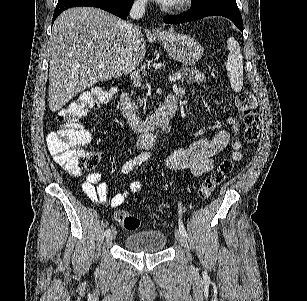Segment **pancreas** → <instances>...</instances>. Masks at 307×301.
I'll use <instances>...</instances> for the list:
<instances>
[{
	"instance_id": "obj_1",
	"label": "pancreas",
	"mask_w": 307,
	"mask_h": 301,
	"mask_svg": "<svg viewBox=\"0 0 307 301\" xmlns=\"http://www.w3.org/2000/svg\"><path fill=\"white\" fill-rule=\"evenodd\" d=\"M178 72H181V78L178 80H191V82H205L206 80L204 72L197 68H186L185 66V68H179ZM139 100L137 106H142L146 102V98H139Z\"/></svg>"
}]
</instances>
